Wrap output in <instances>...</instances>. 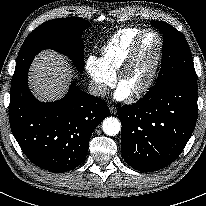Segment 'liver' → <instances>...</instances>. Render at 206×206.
Here are the masks:
<instances>
[{
    "instance_id": "6515ba94",
    "label": "liver",
    "mask_w": 206,
    "mask_h": 206,
    "mask_svg": "<svg viewBox=\"0 0 206 206\" xmlns=\"http://www.w3.org/2000/svg\"><path fill=\"white\" fill-rule=\"evenodd\" d=\"M67 60L60 54L45 50L36 56L29 71V83L34 95L41 101L61 98L70 81Z\"/></svg>"
}]
</instances>
